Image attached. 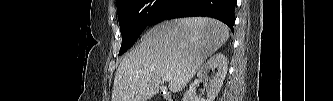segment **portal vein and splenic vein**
<instances>
[{
  "label": "portal vein and splenic vein",
  "mask_w": 333,
  "mask_h": 101,
  "mask_svg": "<svg viewBox=\"0 0 333 101\" xmlns=\"http://www.w3.org/2000/svg\"><path fill=\"white\" fill-rule=\"evenodd\" d=\"M169 80H171V75H165L163 77V81H169Z\"/></svg>",
  "instance_id": "obj_1"
}]
</instances>
